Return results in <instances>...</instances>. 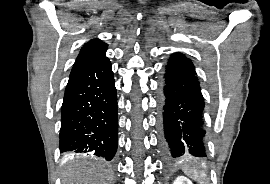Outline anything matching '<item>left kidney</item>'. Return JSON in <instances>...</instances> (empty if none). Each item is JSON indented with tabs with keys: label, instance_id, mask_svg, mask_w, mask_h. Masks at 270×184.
Masks as SVG:
<instances>
[{
	"label": "left kidney",
	"instance_id": "obj_1",
	"mask_svg": "<svg viewBox=\"0 0 270 184\" xmlns=\"http://www.w3.org/2000/svg\"><path fill=\"white\" fill-rule=\"evenodd\" d=\"M173 184H193L188 178L179 176L175 179Z\"/></svg>",
	"mask_w": 270,
	"mask_h": 184
}]
</instances>
